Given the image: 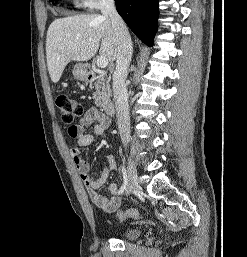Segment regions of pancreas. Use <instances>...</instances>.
<instances>
[{
	"mask_svg": "<svg viewBox=\"0 0 247 257\" xmlns=\"http://www.w3.org/2000/svg\"><path fill=\"white\" fill-rule=\"evenodd\" d=\"M95 92L93 94L94 103L97 107L105 108L110 102L111 89L109 79L101 74L94 83Z\"/></svg>",
	"mask_w": 247,
	"mask_h": 257,
	"instance_id": "obj_1",
	"label": "pancreas"
}]
</instances>
